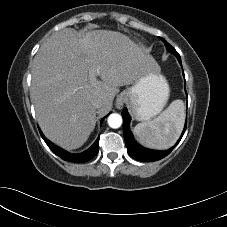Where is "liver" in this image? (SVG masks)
Segmentation results:
<instances>
[{"mask_svg":"<svg viewBox=\"0 0 227 227\" xmlns=\"http://www.w3.org/2000/svg\"><path fill=\"white\" fill-rule=\"evenodd\" d=\"M152 69H160L155 59L120 32L94 30L79 37L64 29L52 34L31 68L30 97L42 132L65 149L81 147L95 127L96 113L112 108L118 87ZM98 98L102 106L96 109Z\"/></svg>","mask_w":227,"mask_h":227,"instance_id":"6515ba94","label":"liver"}]
</instances>
